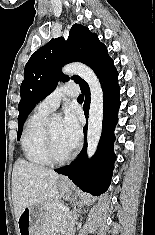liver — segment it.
<instances>
[{
	"label": "liver",
	"instance_id": "liver-1",
	"mask_svg": "<svg viewBox=\"0 0 155 235\" xmlns=\"http://www.w3.org/2000/svg\"><path fill=\"white\" fill-rule=\"evenodd\" d=\"M59 175L43 166L18 159L12 173V200L18 221L26 207L46 203L58 195Z\"/></svg>",
	"mask_w": 155,
	"mask_h": 235
}]
</instances>
